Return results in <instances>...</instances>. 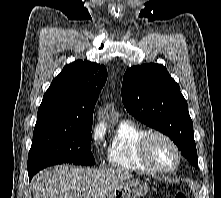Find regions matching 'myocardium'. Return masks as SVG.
Returning <instances> with one entry per match:
<instances>
[{"mask_svg":"<svg viewBox=\"0 0 221 198\" xmlns=\"http://www.w3.org/2000/svg\"><path fill=\"white\" fill-rule=\"evenodd\" d=\"M153 138H161L171 145L176 155V160L173 166L161 167L152 160L150 155V142ZM139 156L145 166H147L155 173L160 174L171 173L175 171L181 162V151L177 143L168 134L158 130L147 131L142 136L139 142Z\"/></svg>","mask_w":221,"mask_h":198,"instance_id":"f54148a6","label":"myocardium"}]
</instances>
